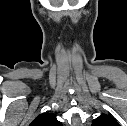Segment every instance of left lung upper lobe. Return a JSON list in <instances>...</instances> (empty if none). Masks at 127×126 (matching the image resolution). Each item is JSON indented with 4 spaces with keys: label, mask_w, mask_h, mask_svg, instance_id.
<instances>
[{
    "label": "left lung upper lobe",
    "mask_w": 127,
    "mask_h": 126,
    "mask_svg": "<svg viewBox=\"0 0 127 126\" xmlns=\"http://www.w3.org/2000/svg\"><path fill=\"white\" fill-rule=\"evenodd\" d=\"M92 126H119V124L112 116L103 113L93 120Z\"/></svg>",
    "instance_id": "1"
}]
</instances>
